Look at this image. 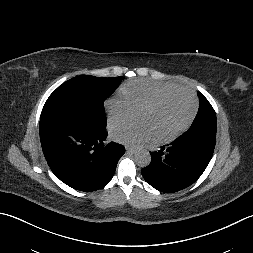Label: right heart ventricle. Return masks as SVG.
Returning <instances> with one entry per match:
<instances>
[{"instance_id":"e07e8e85","label":"right heart ventricle","mask_w":253,"mask_h":253,"mask_svg":"<svg viewBox=\"0 0 253 253\" xmlns=\"http://www.w3.org/2000/svg\"><path fill=\"white\" fill-rule=\"evenodd\" d=\"M178 87L174 83L133 80L121 88V94L133 110H138L158 93Z\"/></svg>"}]
</instances>
